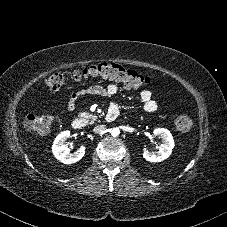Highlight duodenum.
<instances>
[{"label": "duodenum", "instance_id": "duodenum-1", "mask_svg": "<svg viewBox=\"0 0 227 227\" xmlns=\"http://www.w3.org/2000/svg\"><path fill=\"white\" fill-rule=\"evenodd\" d=\"M118 116V112L117 110L115 109H110L106 116H105V120L107 122H111L113 120H115ZM84 126V122L82 119H75L73 122H72V127L76 130H81Z\"/></svg>", "mask_w": 227, "mask_h": 227}]
</instances>
